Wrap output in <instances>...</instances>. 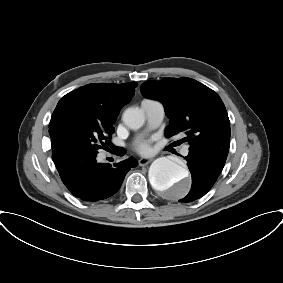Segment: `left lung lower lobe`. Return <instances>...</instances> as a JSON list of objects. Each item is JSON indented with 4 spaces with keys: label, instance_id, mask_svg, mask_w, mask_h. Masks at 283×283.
Returning <instances> with one entry per match:
<instances>
[{
    "label": "left lung lower lobe",
    "instance_id": "1",
    "mask_svg": "<svg viewBox=\"0 0 283 283\" xmlns=\"http://www.w3.org/2000/svg\"><path fill=\"white\" fill-rule=\"evenodd\" d=\"M192 175V186L188 195L180 202H191L205 195L213 186L223 167L209 165L201 158L188 154L185 157Z\"/></svg>",
    "mask_w": 283,
    "mask_h": 283
}]
</instances>
